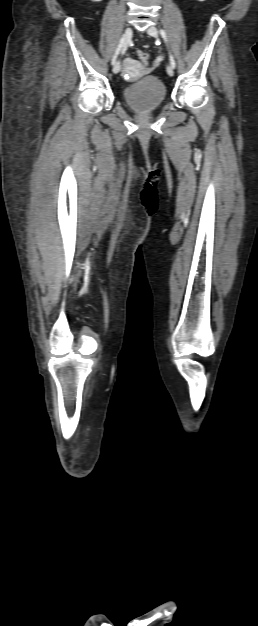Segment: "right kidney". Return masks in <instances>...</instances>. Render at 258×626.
Instances as JSON below:
<instances>
[{
  "instance_id": "ca27d5eb",
  "label": "right kidney",
  "mask_w": 258,
  "mask_h": 626,
  "mask_svg": "<svg viewBox=\"0 0 258 626\" xmlns=\"http://www.w3.org/2000/svg\"><path fill=\"white\" fill-rule=\"evenodd\" d=\"M92 1L99 2V1H101V0H92Z\"/></svg>"
}]
</instances>
